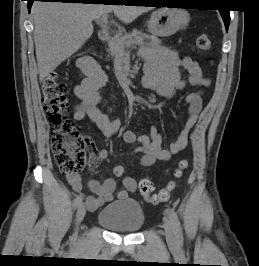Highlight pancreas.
<instances>
[{
  "mask_svg": "<svg viewBox=\"0 0 259 266\" xmlns=\"http://www.w3.org/2000/svg\"><path fill=\"white\" fill-rule=\"evenodd\" d=\"M147 40L146 46L149 48H156L160 43V39L156 36L147 35L140 31L134 30L131 33H118L111 37L108 41V52L111 56L116 57L123 53L126 47L137 45L138 42Z\"/></svg>",
  "mask_w": 259,
  "mask_h": 266,
  "instance_id": "1",
  "label": "pancreas"
}]
</instances>
